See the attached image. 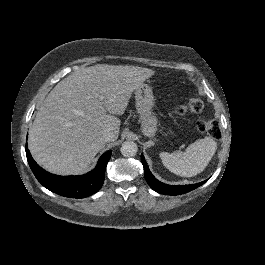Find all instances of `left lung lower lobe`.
<instances>
[{
	"instance_id": "obj_1",
	"label": "left lung lower lobe",
	"mask_w": 265,
	"mask_h": 265,
	"mask_svg": "<svg viewBox=\"0 0 265 265\" xmlns=\"http://www.w3.org/2000/svg\"><path fill=\"white\" fill-rule=\"evenodd\" d=\"M141 161L144 167V175L147 183L150 185V187L155 190L158 193L165 194V195H180L187 193L191 190H194L195 188L201 186L203 183H205L207 180L197 183V184H192V185H167L164 184L160 181H158L150 172L148 165L143 157L141 155Z\"/></svg>"
}]
</instances>
